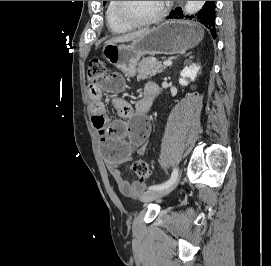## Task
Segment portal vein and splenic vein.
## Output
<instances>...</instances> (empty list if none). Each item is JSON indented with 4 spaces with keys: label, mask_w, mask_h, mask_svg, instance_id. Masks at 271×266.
<instances>
[{
    "label": "portal vein and splenic vein",
    "mask_w": 271,
    "mask_h": 266,
    "mask_svg": "<svg viewBox=\"0 0 271 266\" xmlns=\"http://www.w3.org/2000/svg\"><path fill=\"white\" fill-rule=\"evenodd\" d=\"M163 65L164 66H170V65H172V61L171 60H165V61H163Z\"/></svg>",
    "instance_id": "1"
}]
</instances>
